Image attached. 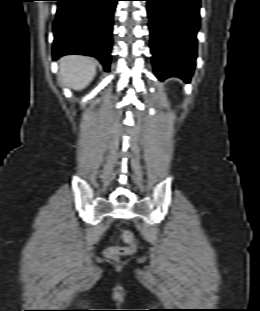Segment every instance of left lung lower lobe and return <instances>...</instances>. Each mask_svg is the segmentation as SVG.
I'll list each match as a JSON object with an SVG mask.
<instances>
[{
	"instance_id": "left-lung-lower-lobe-1",
	"label": "left lung lower lobe",
	"mask_w": 260,
	"mask_h": 311,
	"mask_svg": "<svg viewBox=\"0 0 260 311\" xmlns=\"http://www.w3.org/2000/svg\"><path fill=\"white\" fill-rule=\"evenodd\" d=\"M156 76L189 82L195 68L200 0H145Z\"/></svg>"
}]
</instances>
